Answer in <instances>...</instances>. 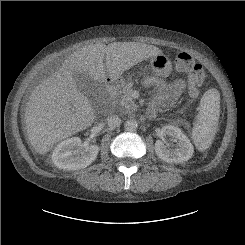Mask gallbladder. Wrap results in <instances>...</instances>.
Listing matches in <instances>:
<instances>
[{
    "mask_svg": "<svg viewBox=\"0 0 245 245\" xmlns=\"http://www.w3.org/2000/svg\"><path fill=\"white\" fill-rule=\"evenodd\" d=\"M77 88L80 92L90 97L92 94L98 95L97 84L86 74H75Z\"/></svg>",
    "mask_w": 245,
    "mask_h": 245,
    "instance_id": "gallbladder-1",
    "label": "gallbladder"
}]
</instances>
